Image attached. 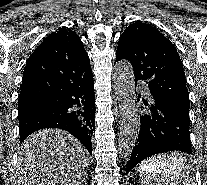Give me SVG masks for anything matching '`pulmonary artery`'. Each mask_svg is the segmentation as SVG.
<instances>
[{
    "instance_id": "1",
    "label": "pulmonary artery",
    "mask_w": 207,
    "mask_h": 185,
    "mask_svg": "<svg viewBox=\"0 0 207 185\" xmlns=\"http://www.w3.org/2000/svg\"><path fill=\"white\" fill-rule=\"evenodd\" d=\"M142 91L145 95H148L149 94V91H148V88L147 87H144L142 88Z\"/></svg>"
}]
</instances>
